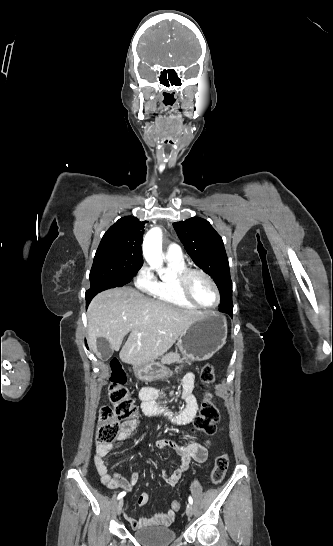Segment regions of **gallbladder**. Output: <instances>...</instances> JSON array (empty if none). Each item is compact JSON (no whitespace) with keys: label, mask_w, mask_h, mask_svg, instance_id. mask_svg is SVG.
<instances>
[{"label":"gallbladder","mask_w":333,"mask_h":546,"mask_svg":"<svg viewBox=\"0 0 333 546\" xmlns=\"http://www.w3.org/2000/svg\"><path fill=\"white\" fill-rule=\"evenodd\" d=\"M97 349L101 354L102 360L104 361L109 360L113 355V350L111 349L108 341L103 337L98 338Z\"/></svg>","instance_id":"gallbladder-1"}]
</instances>
